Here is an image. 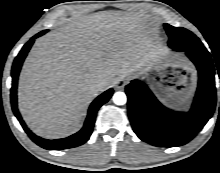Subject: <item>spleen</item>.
<instances>
[{"label":"spleen","instance_id":"spleen-1","mask_svg":"<svg viewBox=\"0 0 220 173\" xmlns=\"http://www.w3.org/2000/svg\"><path fill=\"white\" fill-rule=\"evenodd\" d=\"M171 97H172V96H171ZM175 97H176V98H175ZM172 99L178 100V101L180 100V101H182V102L185 101V99H184L183 97H181V96H173Z\"/></svg>","mask_w":220,"mask_h":173}]
</instances>
